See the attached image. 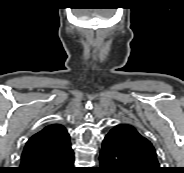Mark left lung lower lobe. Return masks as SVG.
<instances>
[{"instance_id": "1", "label": "left lung lower lobe", "mask_w": 184, "mask_h": 173, "mask_svg": "<svg viewBox=\"0 0 184 173\" xmlns=\"http://www.w3.org/2000/svg\"><path fill=\"white\" fill-rule=\"evenodd\" d=\"M99 173H139L125 154L116 147L113 137L106 135L100 152Z\"/></svg>"}]
</instances>
